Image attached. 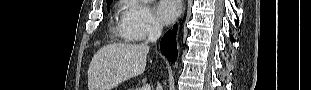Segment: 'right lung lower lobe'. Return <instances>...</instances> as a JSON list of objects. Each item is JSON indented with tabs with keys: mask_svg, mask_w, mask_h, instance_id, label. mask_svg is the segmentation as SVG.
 <instances>
[{
	"mask_svg": "<svg viewBox=\"0 0 311 90\" xmlns=\"http://www.w3.org/2000/svg\"><path fill=\"white\" fill-rule=\"evenodd\" d=\"M176 26L173 27V30H169L160 42V50L165 55V57L171 61L175 62L177 58V45H176Z\"/></svg>",
	"mask_w": 311,
	"mask_h": 90,
	"instance_id": "obj_1",
	"label": "right lung lower lobe"
}]
</instances>
